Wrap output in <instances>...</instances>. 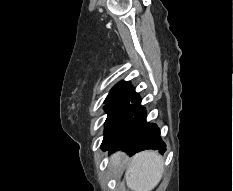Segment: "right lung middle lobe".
Segmentation results:
<instances>
[{"mask_svg": "<svg viewBox=\"0 0 233 191\" xmlns=\"http://www.w3.org/2000/svg\"><path fill=\"white\" fill-rule=\"evenodd\" d=\"M105 111L108 114V117L105 122V130L106 133L121 117V115L126 110L129 102L126 97L111 99L105 101Z\"/></svg>", "mask_w": 233, "mask_h": 191, "instance_id": "dd1d6c3e", "label": "right lung middle lobe"}]
</instances>
